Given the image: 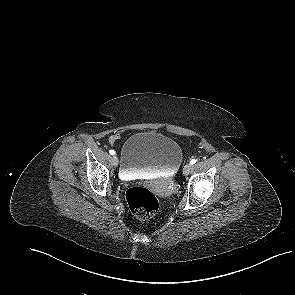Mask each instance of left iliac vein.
I'll list each match as a JSON object with an SVG mask.
<instances>
[{"label": "left iliac vein", "mask_w": 295, "mask_h": 295, "mask_svg": "<svg viewBox=\"0 0 295 295\" xmlns=\"http://www.w3.org/2000/svg\"><path fill=\"white\" fill-rule=\"evenodd\" d=\"M192 169V165L191 164H186L183 168V174L184 175H188L190 173Z\"/></svg>", "instance_id": "4c4485c4"}]
</instances>
